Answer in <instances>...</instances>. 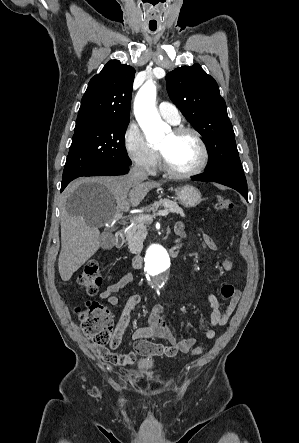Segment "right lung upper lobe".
<instances>
[{
	"label": "right lung upper lobe",
	"mask_w": 299,
	"mask_h": 443,
	"mask_svg": "<svg viewBox=\"0 0 299 443\" xmlns=\"http://www.w3.org/2000/svg\"><path fill=\"white\" fill-rule=\"evenodd\" d=\"M135 69L109 61L89 82L82 98L75 129L107 120H129Z\"/></svg>",
	"instance_id": "1"
}]
</instances>
